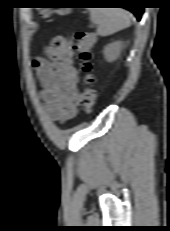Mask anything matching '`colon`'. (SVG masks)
<instances>
[{
    "mask_svg": "<svg viewBox=\"0 0 170 231\" xmlns=\"http://www.w3.org/2000/svg\"><path fill=\"white\" fill-rule=\"evenodd\" d=\"M56 13H62V10H54ZM46 15L48 12L45 13ZM96 42V34L90 31H80L75 34V41L72 47L80 62V68L84 75V90L80 95V104L85 112H90L97 103V93L93 88V75L91 63V51Z\"/></svg>",
    "mask_w": 170,
    "mask_h": 231,
    "instance_id": "obj_1",
    "label": "colon"
}]
</instances>
